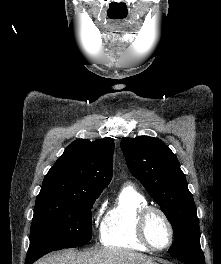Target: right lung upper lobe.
Segmentation results:
<instances>
[{"label":"right lung upper lobe","mask_w":221,"mask_h":264,"mask_svg":"<svg viewBox=\"0 0 221 264\" xmlns=\"http://www.w3.org/2000/svg\"><path fill=\"white\" fill-rule=\"evenodd\" d=\"M113 151L110 138L74 141L46 174L39 195L101 193L112 178Z\"/></svg>","instance_id":"cb5924a9"}]
</instances>
